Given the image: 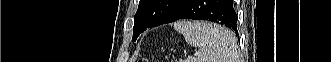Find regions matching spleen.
<instances>
[{"label": "spleen", "instance_id": "spleen-1", "mask_svg": "<svg viewBox=\"0 0 331 62\" xmlns=\"http://www.w3.org/2000/svg\"><path fill=\"white\" fill-rule=\"evenodd\" d=\"M174 29L188 44L198 47L187 62H239L237 39L227 28L203 21H179Z\"/></svg>", "mask_w": 331, "mask_h": 62}]
</instances>
